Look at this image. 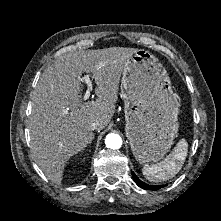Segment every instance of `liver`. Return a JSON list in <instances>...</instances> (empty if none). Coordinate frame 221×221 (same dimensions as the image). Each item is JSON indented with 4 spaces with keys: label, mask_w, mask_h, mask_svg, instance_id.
<instances>
[{
    "label": "liver",
    "mask_w": 221,
    "mask_h": 221,
    "mask_svg": "<svg viewBox=\"0 0 221 221\" xmlns=\"http://www.w3.org/2000/svg\"><path fill=\"white\" fill-rule=\"evenodd\" d=\"M136 48L110 47L72 51L41 75L32 95L28 128L34 161L53 183L60 184L69 159L93 140L91 124L104 129L115 113L120 77ZM94 79V101H82V73Z\"/></svg>",
    "instance_id": "6515ba94"
}]
</instances>
